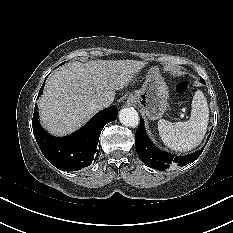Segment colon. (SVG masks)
<instances>
[{"label": "colon", "instance_id": "colon-1", "mask_svg": "<svg viewBox=\"0 0 233 233\" xmlns=\"http://www.w3.org/2000/svg\"><path fill=\"white\" fill-rule=\"evenodd\" d=\"M189 89V82L188 81H180L176 85V90L179 93H185Z\"/></svg>", "mask_w": 233, "mask_h": 233}]
</instances>
